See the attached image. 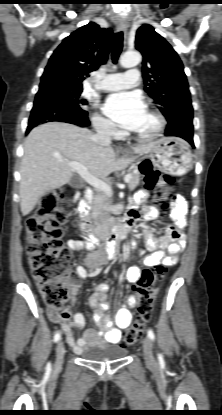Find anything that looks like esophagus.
I'll list each match as a JSON object with an SVG mask.
<instances>
[{"label":"esophagus","mask_w":222,"mask_h":415,"mask_svg":"<svg viewBox=\"0 0 222 415\" xmlns=\"http://www.w3.org/2000/svg\"><path fill=\"white\" fill-rule=\"evenodd\" d=\"M128 24L126 21H120L117 25L118 32H123L124 37L126 38L127 35Z\"/></svg>","instance_id":"esophagus-1"}]
</instances>
